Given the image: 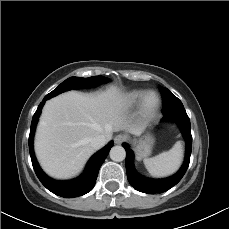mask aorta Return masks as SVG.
Here are the masks:
<instances>
[{"label":"aorta","mask_w":229,"mask_h":229,"mask_svg":"<svg viewBox=\"0 0 229 229\" xmlns=\"http://www.w3.org/2000/svg\"><path fill=\"white\" fill-rule=\"evenodd\" d=\"M126 152L125 149L122 146H114L110 150V158L113 161L121 162L125 159Z\"/></svg>","instance_id":"aorta-1"}]
</instances>
